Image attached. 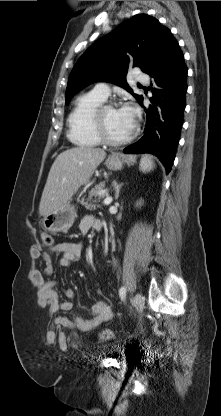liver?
I'll list each match as a JSON object with an SVG mask.
<instances>
[{"label":"liver","mask_w":221,"mask_h":416,"mask_svg":"<svg viewBox=\"0 0 221 416\" xmlns=\"http://www.w3.org/2000/svg\"><path fill=\"white\" fill-rule=\"evenodd\" d=\"M105 157L104 150L83 146L60 153L48 174L39 205L40 215H49L66 205Z\"/></svg>","instance_id":"liver-1"}]
</instances>
